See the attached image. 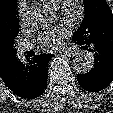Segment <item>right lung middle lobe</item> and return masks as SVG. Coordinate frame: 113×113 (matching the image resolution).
Masks as SVG:
<instances>
[{
    "label": "right lung middle lobe",
    "mask_w": 113,
    "mask_h": 113,
    "mask_svg": "<svg viewBox=\"0 0 113 113\" xmlns=\"http://www.w3.org/2000/svg\"><path fill=\"white\" fill-rule=\"evenodd\" d=\"M18 32H19V30H18V24H17L16 27H15V31H14V35H13V40H12L13 48H14V43H15L14 39L17 37ZM14 50L16 52V49L15 48H14Z\"/></svg>",
    "instance_id": "obj_1"
}]
</instances>
